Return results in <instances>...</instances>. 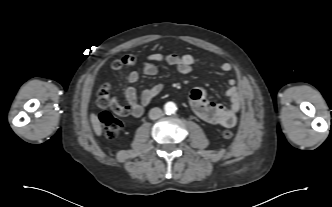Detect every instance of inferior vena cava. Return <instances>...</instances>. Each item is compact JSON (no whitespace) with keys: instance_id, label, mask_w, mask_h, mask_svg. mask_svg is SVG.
<instances>
[{"instance_id":"obj_1","label":"inferior vena cava","mask_w":332,"mask_h":207,"mask_svg":"<svg viewBox=\"0 0 332 207\" xmlns=\"http://www.w3.org/2000/svg\"><path fill=\"white\" fill-rule=\"evenodd\" d=\"M162 116V110L158 107L152 108L149 111V118L152 120L158 119Z\"/></svg>"}]
</instances>
